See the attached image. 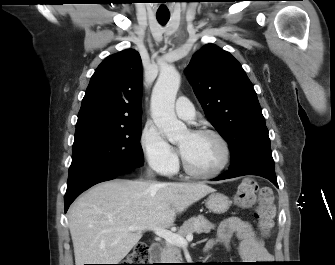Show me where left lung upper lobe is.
<instances>
[{
    "label": "left lung upper lobe",
    "mask_w": 335,
    "mask_h": 265,
    "mask_svg": "<svg viewBox=\"0 0 335 265\" xmlns=\"http://www.w3.org/2000/svg\"><path fill=\"white\" fill-rule=\"evenodd\" d=\"M185 72L206 117L229 144L230 169L257 166L275 171L257 94L240 63L208 44L192 56Z\"/></svg>",
    "instance_id": "5c2ea615"
}]
</instances>
